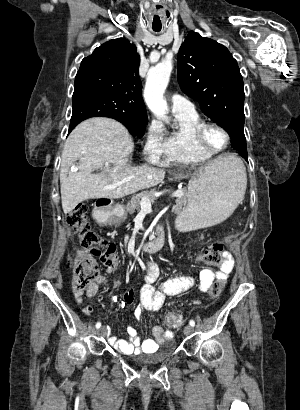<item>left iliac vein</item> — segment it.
Listing matches in <instances>:
<instances>
[{
	"mask_svg": "<svg viewBox=\"0 0 300 410\" xmlns=\"http://www.w3.org/2000/svg\"><path fill=\"white\" fill-rule=\"evenodd\" d=\"M193 332V327L191 325H186L184 328L185 335H190Z\"/></svg>",
	"mask_w": 300,
	"mask_h": 410,
	"instance_id": "1",
	"label": "left iliac vein"
}]
</instances>
